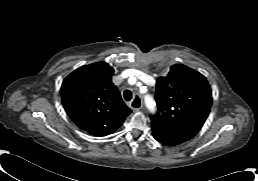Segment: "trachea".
Listing matches in <instances>:
<instances>
[{
	"label": "trachea",
	"instance_id": "3493384b",
	"mask_svg": "<svg viewBox=\"0 0 258 181\" xmlns=\"http://www.w3.org/2000/svg\"><path fill=\"white\" fill-rule=\"evenodd\" d=\"M123 96L126 101H130L132 99V92L130 90H125Z\"/></svg>",
	"mask_w": 258,
	"mask_h": 181
}]
</instances>
